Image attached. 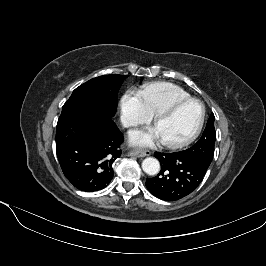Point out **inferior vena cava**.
<instances>
[{
  "label": "inferior vena cava",
  "instance_id": "obj_1",
  "mask_svg": "<svg viewBox=\"0 0 266 266\" xmlns=\"http://www.w3.org/2000/svg\"><path fill=\"white\" fill-rule=\"evenodd\" d=\"M123 125L125 127L132 126V125H134V121L132 119H130V118H124L123 119Z\"/></svg>",
  "mask_w": 266,
  "mask_h": 266
}]
</instances>
